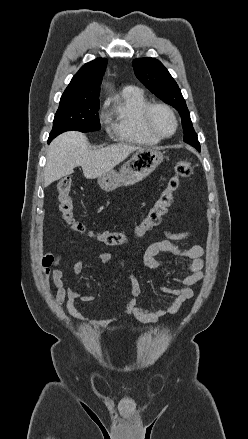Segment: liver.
<instances>
[{"label": "liver", "instance_id": "obj_1", "mask_svg": "<svg viewBox=\"0 0 248 439\" xmlns=\"http://www.w3.org/2000/svg\"><path fill=\"white\" fill-rule=\"evenodd\" d=\"M141 147L118 143L92 150L83 133L70 131L56 137L50 144L44 170V186L74 172L81 166L87 179H95L116 167Z\"/></svg>", "mask_w": 248, "mask_h": 439}]
</instances>
